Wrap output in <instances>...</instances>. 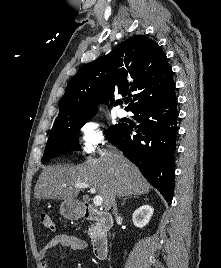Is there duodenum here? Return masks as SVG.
<instances>
[{"instance_id":"obj_1","label":"duodenum","mask_w":221,"mask_h":268,"mask_svg":"<svg viewBox=\"0 0 221 268\" xmlns=\"http://www.w3.org/2000/svg\"><path fill=\"white\" fill-rule=\"evenodd\" d=\"M82 216L91 221H96L99 224V233L92 243V251L97 259L103 260L107 256L108 251V236L107 233L113 225L111 215L100 212L91 206H85L82 210Z\"/></svg>"}]
</instances>
